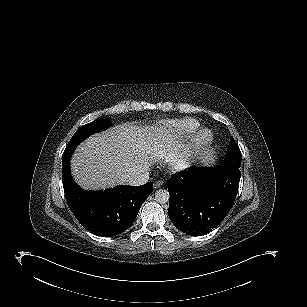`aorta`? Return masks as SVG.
I'll list each match as a JSON object with an SVG mask.
<instances>
[{"mask_svg":"<svg viewBox=\"0 0 307 307\" xmlns=\"http://www.w3.org/2000/svg\"><path fill=\"white\" fill-rule=\"evenodd\" d=\"M170 199V195L168 190L166 189H158L155 192V200L160 203V204H165L167 202H169Z\"/></svg>","mask_w":307,"mask_h":307,"instance_id":"aorta-1","label":"aorta"}]
</instances>
